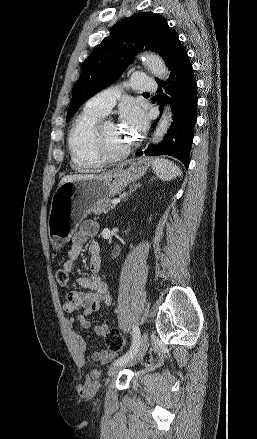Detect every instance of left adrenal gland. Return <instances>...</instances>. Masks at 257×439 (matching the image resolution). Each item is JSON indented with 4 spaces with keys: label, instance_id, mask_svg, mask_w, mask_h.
Returning a JSON list of instances; mask_svg holds the SVG:
<instances>
[{
    "label": "left adrenal gland",
    "instance_id": "a2214340",
    "mask_svg": "<svg viewBox=\"0 0 257 439\" xmlns=\"http://www.w3.org/2000/svg\"><path fill=\"white\" fill-rule=\"evenodd\" d=\"M141 186V184H135V185H133V186H131L130 187V191H129V194L126 196V198L128 197V196H130L137 188H139ZM123 200H125V199H123Z\"/></svg>",
    "mask_w": 257,
    "mask_h": 439
}]
</instances>
